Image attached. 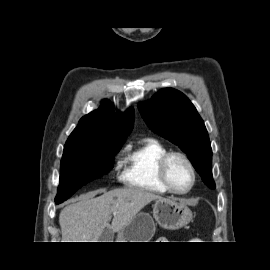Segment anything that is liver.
I'll return each mask as SVG.
<instances>
[{
  "label": "liver",
  "mask_w": 270,
  "mask_h": 270,
  "mask_svg": "<svg viewBox=\"0 0 270 270\" xmlns=\"http://www.w3.org/2000/svg\"><path fill=\"white\" fill-rule=\"evenodd\" d=\"M103 195L96 197L98 193ZM162 197L137 188L97 190L81 196L59 215L62 242H99L105 228L119 232L151 201ZM113 219L111 225L109 221Z\"/></svg>",
  "instance_id": "6515ba94"
}]
</instances>
